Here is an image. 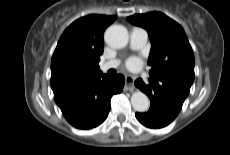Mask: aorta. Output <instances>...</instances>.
Returning <instances> with one entry per match:
<instances>
[{
  "mask_svg": "<svg viewBox=\"0 0 230 155\" xmlns=\"http://www.w3.org/2000/svg\"><path fill=\"white\" fill-rule=\"evenodd\" d=\"M104 40L112 48H123L129 41L128 30L121 25H112L105 31ZM131 104L138 112H145L150 107L149 98L141 91H136L132 94Z\"/></svg>",
  "mask_w": 230,
  "mask_h": 155,
  "instance_id": "1",
  "label": "aorta"
}]
</instances>
